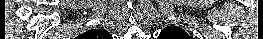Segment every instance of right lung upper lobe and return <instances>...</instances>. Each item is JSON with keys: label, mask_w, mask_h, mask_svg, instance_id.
Listing matches in <instances>:
<instances>
[{"label": "right lung upper lobe", "mask_w": 263, "mask_h": 39, "mask_svg": "<svg viewBox=\"0 0 263 39\" xmlns=\"http://www.w3.org/2000/svg\"><path fill=\"white\" fill-rule=\"evenodd\" d=\"M110 34L105 30H90L80 35L83 39H108Z\"/></svg>", "instance_id": "cb5924a9"}]
</instances>
